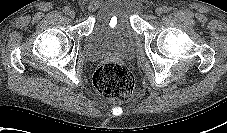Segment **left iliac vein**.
Wrapping results in <instances>:
<instances>
[{"label": "left iliac vein", "instance_id": "left-iliac-vein-1", "mask_svg": "<svg viewBox=\"0 0 227 133\" xmlns=\"http://www.w3.org/2000/svg\"><path fill=\"white\" fill-rule=\"evenodd\" d=\"M155 13H156V15H158V16L162 15V14L164 13L163 7H158V8H156Z\"/></svg>", "mask_w": 227, "mask_h": 133}]
</instances>
